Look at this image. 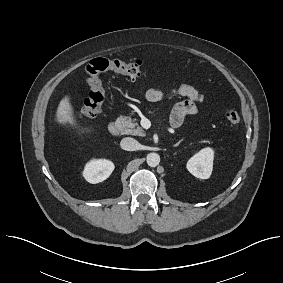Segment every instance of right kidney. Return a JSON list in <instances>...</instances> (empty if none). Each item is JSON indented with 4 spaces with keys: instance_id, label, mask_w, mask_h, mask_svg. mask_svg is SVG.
Segmentation results:
<instances>
[{
    "instance_id": "ca27d5eb",
    "label": "right kidney",
    "mask_w": 283,
    "mask_h": 283,
    "mask_svg": "<svg viewBox=\"0 0 283 283\" xmlns=\"http://www.w3.org/2000/svg\"><path fill=\"white\" fill-rule=\"evenodd\" d=\"M114 170L113 162L106 159H93L84 168V178L92 184L106 180Z\"/></svg>"
}]
</instances>
